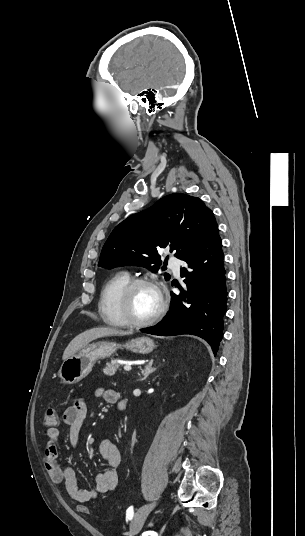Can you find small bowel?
I'll return each instance as SVG.
<instances>
[{
  "mask_svg": "<svg viewBox=\"0 0 305 536\" xmlns=\"http://www.w3.org/2000/svg\"><path fill=\"white\" fill-rule=\"evenodd\" d=\"M96 394L108 403H113L117 392L100 389ZM87 415L86 403L78 399L64 412V421L69 427V438L73 446H77L81 429ZM60 431L57 427H49L46 431V441L43 448L45 469L55 484L64 483L69 497L74 500H93L99 493L112 491L118 484V468L122 462V455L116 444L109 438L102 439L98 444V451L105 461V468L95 477L94 489H80L78 487L75 470L72 466L61 467L58 463V440Z\"/></svg>",
  "mask_w": 305,
  "mask_h": 536,
  "instance_id": "small-bowel-1",
  "label": "small bowel"
}]
</instances>
